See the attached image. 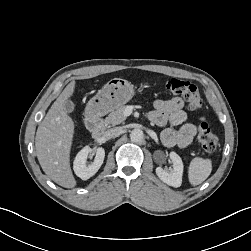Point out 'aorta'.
<instances>
[{"label": "aorta", "mask_w": 251, "mask_h": 251, "mask_svg": "<svg viewBox=\"0 0 251 251\" xmlns=\"http://www.w3.org/2000/svg\"><path fill=\"white\" fill-rule=\"evenodd\" d=\"M144 138L143 131L140 129H133L130 133V139L132 142H141Z\"/></svg>", "instance_id": "aorta-1"}]
</instances>
